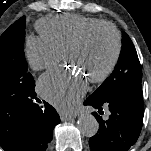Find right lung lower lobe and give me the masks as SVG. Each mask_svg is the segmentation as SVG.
<instances>
[{"mask_svg": "<svg viewBox=\"0 0 151 151\" xmlns=\"http://www.w3.org/2000/svg\"><path fill=\"white\" fill-rule=\"evenodd\" d=\"M4 82V80H0V88H3ZM33 84L35 87L34 79ZM34 87L28 98V136L23 151H46L53 137V129L60 123V118L50 104L46 103L45 110H42L39 105L33 103L32 99L35 97Z\"/></svg>", "mask_w": 151, "mask_h": 151, "instance_id": "98d812e1", "label": "right lung lower lobe"}]
</instances>
